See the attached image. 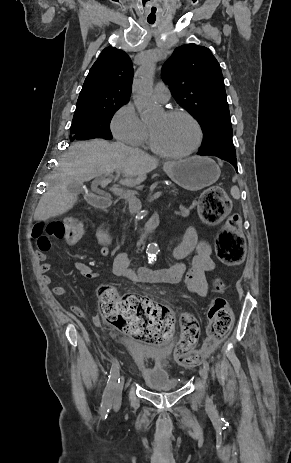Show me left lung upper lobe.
Wrapping results in <instances>:
<instances>
[{
    "mask_svg": "<svg viewBox=\"0 0 291 463\" xmlns=\"http://www.w3.org/2000/svg\"><path fill=\"white\" fill-rule=\"evenodd\" d=\"M162 74L177 103L202 127L199 151L236 156L224 79L211 51L195 44L178 47L165 62Z\"/></svg>",
    "mask_w": 291,
    "mask_h": 463,
    "instance_id": "obj_1",
    "label": "left lung upper lobe"
}]
</instances>
